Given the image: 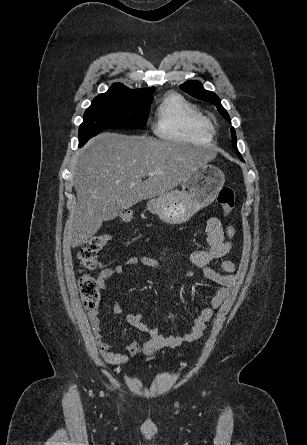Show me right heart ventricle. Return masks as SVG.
<instances>
[{
	"label": "right heart ventricle",
	"instance_id": "e07e8e85",
	"mask_svg": "<svg viewBox=\"0 0 307 445\" xmlns=\"http://www.w3.org/2000/svg\"><path fill=\"white\" fill-rule=\"evenodd\" d=\"M154 133L162 139L207 140L209 144L213 126L181 96L169 94L159 106Z\"/></svg>",
	"mask_w": 307,
	"mask_h": 445
}]
</instances>
